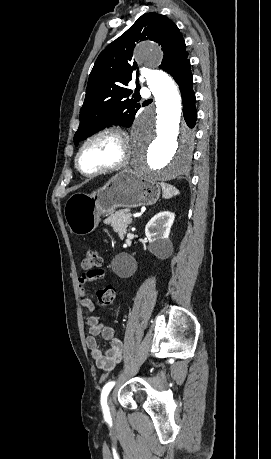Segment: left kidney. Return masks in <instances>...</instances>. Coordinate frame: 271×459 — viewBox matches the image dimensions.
Instances as JSON below:
<instances>
[{"label": "left kidney", "mask_w": 271, "mask_h": 459, "mask_svg": "<svg viewBox=\"0 0 271 459\" xmlns=\"http://www.w3.org/2000/svg\"><path fill=\"white\" fill-rule=\"evenodd\" d=\"M174 218L175 214L172 212H159L148 222L145 235L149 241L148 249L155 255H160L171 247L172 243L168 237Z\"/></svg>", "instance_id": "1"}]
</instances>
